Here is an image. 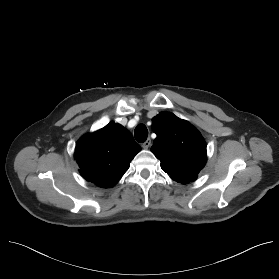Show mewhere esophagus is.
I'll list each match as a JSON object with an SVG mask.
<instances>
[{
	"instance_id": "1",
	"label": "esophagus",
	"mask_w": 279,
	"mask_h": 279,
	"mask_svg": "<svg viewBox=\"0 0 279 279\" xmlns=\"http://www.w3.org/2000/svg\"><path fill=\"white\" fill-rule=\"evenodd\" d=\"M150 145H151V139L149 138L142 144V147L144 149H148L150 147Z\"/></svg>"
}]
</instances>
